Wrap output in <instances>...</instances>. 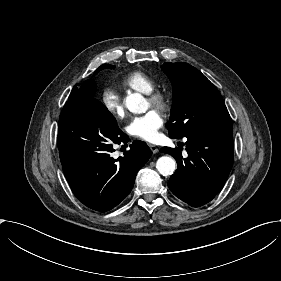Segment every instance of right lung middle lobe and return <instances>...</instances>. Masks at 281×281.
<instances>
[{
  "label": "right lung middle lobe",
  "mask_w": 281,
  "mask_h": 281,
  "mask_svg": "<svg viewBox=\"0 0 281 281\" xmlns=\"http://www.w3.org/2000/svg\"><path fill=\"white\" fill-rule=\"evenodd\" d=\"M107 68H111V69H113V68H115V66H112V65H107Z\"/></svg>",
  "instance_id": "dd1d6c3e"
}]
</instances>
